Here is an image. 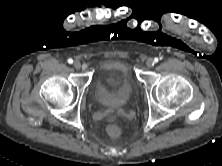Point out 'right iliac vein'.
Here are the masks:
<instances>
[{"label": "right iliac vein", "mask_w": 222, "mask_h": 166, "mask_svg": "<svg viewBox=\"0 0 222 166\" xmlns=\"http://www.w3.org/2000/svg\"><path fill=\"white\" fill-rule=\"evenodd\" d=\"M75 69H80L81 68V63L79 61H75L73 64Z\"/></svg>", "instance_id": "63e3f726"}]
</instances>
